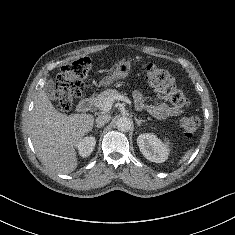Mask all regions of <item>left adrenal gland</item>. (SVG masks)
Instances as JSON below:
<instances>
[{"label": "left adrenal gland", "mask_w": 235, "mask_h": 235, "mask_svg": "<svg viewBox=\"0 0 235 235\" xmlns=\"http://www.w3.org/2000/svg\"><path fill=\"white\" fill-rule=\"evenodd\" d=\"M135 121H136L138 126H140L143 122H145V120L137 119V118H135Z\"/></svg>", "instance_id": "a2214340"}]
</instances>
